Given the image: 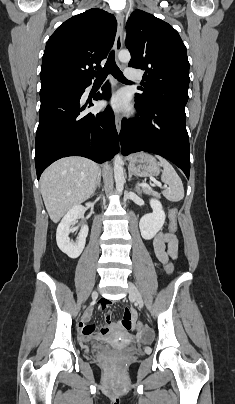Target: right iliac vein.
Segmentation results:
<instances>
[{
    "instance_id": "right-iliac-vein-1",
    "label": "right iliac vein",
    "mask_w": 235,
    "mask_h": 404,
    "mask_svg": "<svg viewBox=\"0 0 235 404\" xmlns=\"http://www.w3.org/2000/svg\"><path fill=\"white\" fill-rule=\"evenodd\" d=\"M93 296H96V292L93 293Z\"/></svg>"
}]
</instances>
